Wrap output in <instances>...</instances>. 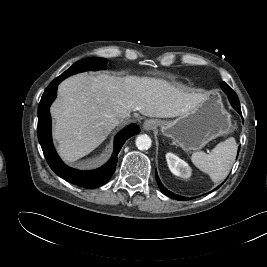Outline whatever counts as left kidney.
<instances>
[{
  "label": "left kidney",
  "instance_id": "5707ae66",
  "mask_svg": "<svg viewBox=\"0 0 267 267\" xmlns=\"http://www.w3.org/2000/svg\"><path fill=\"white\" fill-rule=\"evenodd\" d=\"M166 160L169 169L174 175L182 178H189L191 176V168L184 160L180 159L178 156L172 153H167Z\"/></svg>",
  "mask_w": 267,
  "mask_h": 267
}]
</instances>
